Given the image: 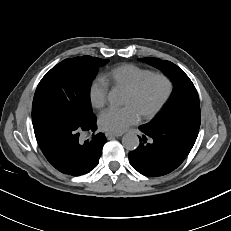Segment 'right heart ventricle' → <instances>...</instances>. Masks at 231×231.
Here are the masks:
<instances>
[{
    "instance_id": "right-heart-ventricle-1",
    "label": "right heart ventricle",
    "mask_w": 231,
    "mask_h": 231,
    "mask_svg": "<svg viewBox=\"0 0 231 231\" xmlns=\"http://www.w3.org/2000/svg\"><path fill=\"white\" fill-rule=\"evenodd\" d=\"M152 73V70L133 64H123L113 68L105 76V80L115 87H121L126 90L131 88L140 79Z\"/></svg>"
}]
</instances>
